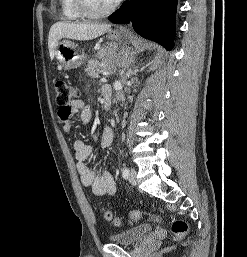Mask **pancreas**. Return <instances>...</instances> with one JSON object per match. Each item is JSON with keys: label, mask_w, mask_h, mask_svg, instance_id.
Masks as SVG:
<instances>
[{"label": "pancreas", "mask_w": 247, "mask_h": 257, "mask_svg": "<svg viewBox=\"0 0 247 257\" xmlns=\"http://www.w3.org/2000/svg\"><path fill=\"white\" fill-rule=\"evenodd\" d=\"M101 61L92 59L88 62L85 68L86 76L91 78H97L102 71L114 70V63L107 58H101Z\"/></svg>", "instance_id": "pancreas-1"}]
</instances>
